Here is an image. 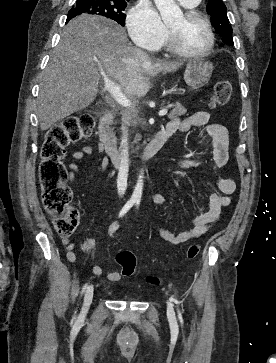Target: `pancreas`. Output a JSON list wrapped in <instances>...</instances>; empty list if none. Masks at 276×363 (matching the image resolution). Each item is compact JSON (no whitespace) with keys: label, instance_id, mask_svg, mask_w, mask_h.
Segmentation results:
<instances>
[{"label":"pancreas","instance_id":"1","mask_svg":"<svg viewBox=\"0 0 276 363\" xmlns=\"http://www.w3.org/2000/svg\"><path fill=\"white\" fill-rule=\"evenodd\" d=\"M169 107L172 108L171 112L168 115V118L171 120L178 119L180 116L184 115L187 112V109L183 107L180 103L170 104ZM131 122L134 125L136 124V120H131ZM110 135L113 140L116 141L115 133L113 132V130H111Z\"/></svg>","mask_w":276,"mask_h":363}]
</instances>
